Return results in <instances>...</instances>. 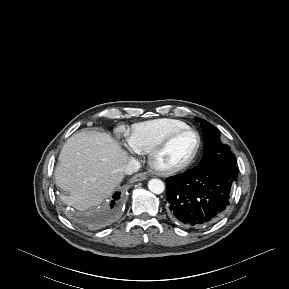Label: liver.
<instances>
[{
	"instance_id": "6515ba94",
	"label": "liver",
	"mask_w": 289,
	"mask_h": 289,
	"mask_svg": "<svg viewBox=\"0 0 289 289\" xmlns=\"http://www.w3.org/2000/svg\"><path fill=\"white\" fill-rule=\"evenodd\" d=\"M128 154L107 133L82 131L63 145L55 169L58 187L69 193L61 200L77 209L98 205L124 177Z\"/></svg>"
}]
</instances>
